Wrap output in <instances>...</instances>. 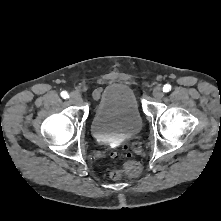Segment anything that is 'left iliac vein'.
Returning a JSON list of instances; mask_svg holds the SVG:
<instances>
[{
	"instance_id": "4c4485c4",
	"label": "left iliac vein",
	"mask_w": 221,
	"mask_h": 221,
	"mask_svg": "<svg viewBox=\"0 0 221 221\" xmlns=\"http://www.w3.org/2000/svg\"><path fill=\"white\" fill-rule=\"evenodd\" d=\"M152 94H153V97H154L155 99H161V98H163V96H164V93H163V90H162L161 87H155V88L153 89Z\"/></svg>"
}]
</instances>
